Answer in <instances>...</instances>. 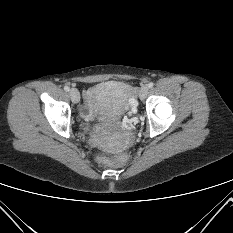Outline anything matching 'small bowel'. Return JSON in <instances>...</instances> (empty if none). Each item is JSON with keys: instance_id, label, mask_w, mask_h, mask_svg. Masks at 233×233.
Masks as SVG:
<instances>
[{"instance_id": "c3829d8e", "label": "small bowel", "mask_w": 233, "mask_h": 233, "mask_svg": "<svg viewBox=\"0 0 233 233\" xmlns=\"http://www.w3.org/2000/svg\"><path fill=\"white\" fill-rule=\"evenodd\" d=\"M86 96L88 97V96H89V93H86Z\"/></svg>"}]
</instances>
